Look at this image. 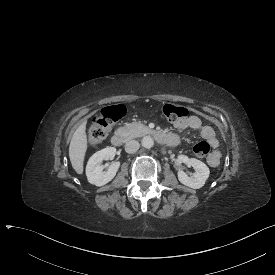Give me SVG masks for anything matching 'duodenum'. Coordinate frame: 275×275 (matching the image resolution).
I'll return each mask as SVG.
<instances>
[{
  "label": "duodenum",
  "mask_w": 275,
  "mask_h": 275,
  "mask_svg": "<svg viewBox=\"0 0 275 275\" xmlns=\"http://www.w3.org/2000/svg\"><path fill=\"white\" fill-rule=\"evenodd\" d=\"M150 135H152L158 142L162 143V144H167V145H176L177 144V139L176 137L160 132V131H156V130H150L149 131ZM126 141V136L124 134V132L122 131H118L115 132L113 134V136L111 137V143L113 146L119 147L121 145H123Z\"/></svg>",
  "instance_id": "1"
}]
</instances>
